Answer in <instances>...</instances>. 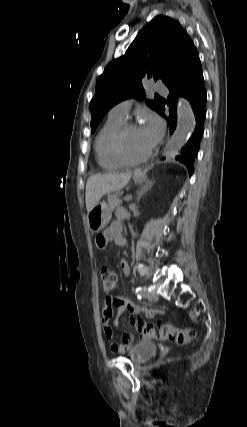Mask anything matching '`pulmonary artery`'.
I'll return each mask as SVG.
<instances>
[{
	"label": "pulmonary artery",
	"mask_w": 247,
	"mask_h": 427,
	"mask_svg": "<svg viewBox=\"0 0 247 427\" xmlns=\"http://www.w3.org/2000/svg\"><path fill=\"white\" fill-rule=\"evenodd\" d=\"M154 89L161 93H166L167 89L165 86L160 84H155ZM131 107V100H124L116 104L109 112V115L119 119H126L128 116L129 110Z\"/></svg>",
	"instance_id": "obj_1"
}]
</instances>
